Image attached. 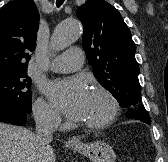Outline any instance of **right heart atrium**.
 Here are the masks:
<instances>
[{"instance_id":"d8ad5b80","label":"right heart atrium","mask_w":168,"mask_h":162,"mask_svg":"<svg viewBox=\"0 0 168 162\" xmlns=\"http://www.w3.org/2000/svg\"><path fill=\"white\" fill-rule=\"evenodd\" d=\"M33 113L36 121L45 127L57 128L61 119L56 109L47 101L39 98L33 105Z\"/></svg>"}]
</instances>
